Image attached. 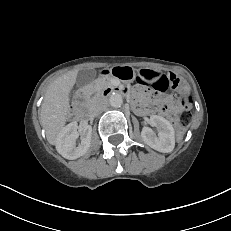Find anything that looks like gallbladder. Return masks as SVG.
Listing matches in <instances>:
<instances>
[{
  "mask_svg": "<svg viewBox=\"0 0 231 231\" xmlns=\"http://www.w3.org/2000/svg\"><path fill=\"white\" fill-rule=\"evenodd\" d=\"M94 76V71L89 69L80 70L77 74L76 84L78 86H84L89 83Z\"/></svg>",
  "mask_w": 231,
  "mask_h": 231,
  "instance_id": "gallbladder-1",
  "label": "gallbladder"
}]
</instances>
